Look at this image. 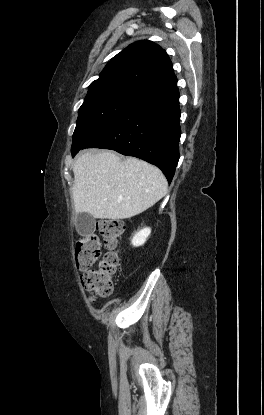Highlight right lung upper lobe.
<instances>
[{"label":"right lung upper lobe","mask_w":264,"mask_h":415,"mask_svg":"<svg viewBox=\"0 0 264 415\" xmlns=\"http://www.w3.org/2000/svg\"><path fill=\"white\" fill-rule=\"evenodd\" d=\"M172 62L152 41L135 42L118 53L93 81L87 96L122 92L142 99L175 87Z\"/></svg>","instance_id":"obj_1"}]
</instances>
